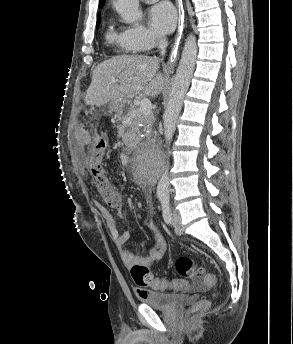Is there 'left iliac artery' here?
I'll return each instance as SVG.
<instances>
[{"label": "left iliac artery", "mask_w": 293, "mask_h": 344, "mask_svg": "<svg viewBox=\"0 0 293 344\" xmlns=\"http://www.w3.org/2000/svg\"><path fill=\"white\" fill-rule=\"evenodd\" d=\"M161 205H162V213L163 218L167 224L171 223V208H170V200L168 196L160 197Z\"/></svg>", "instance_id": "obj_1"}]
</instances>
